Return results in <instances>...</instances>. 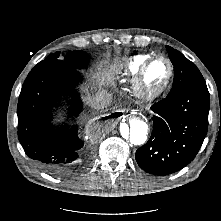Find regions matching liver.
Listing matches in <instances>:
<instances>
[{
    "label": "liver",
    "instance_id": "6515ba94",
    "mask_svg": "<svg viewBox=\"0 0 221 221\" xmlns=\"http://www.w3.org/2000/svg\"><path fill=\"white\" fill-rule=\"evenodd\" d=\"M119 72V66L117 64H114L110 67L109 70L105 71H100L97 72L96 74L93 75V80L96 84V87L99 89V91L102 89L103 86L112 84L114 79H115V74ZM94 87V89L96 88ZM93 89V88H92ZM91 89V90H92ZM87 91V97H86V101L87 103H90V101L99 93H97L96 95L89 93L88 89ZM104 91H101L100 93H102Z\"/></svg>",
    "mask_w": 221,
    "mask_h": 221
}]
</instances>
